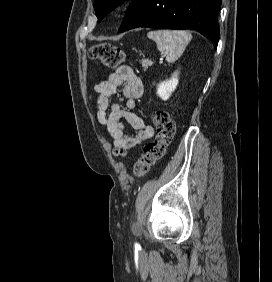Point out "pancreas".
Here are the masks:
<instances>
[{"label":"pancreas","instance_id":"1","mask_svg":"<svg viewBox=\"0 0 272 282\" xmlns=\"http://www.w3.org/2000/svg\"><path fill=\"white\" fill-rule=\"evenodd\" d=\"M141 64H142L144 70H146V69L148 68V66H151V65H152V63H151L150 61H146V60H143V61L141 62Z\"/></svg>","mask_w":272,"mask_h":282}]
</instances>
